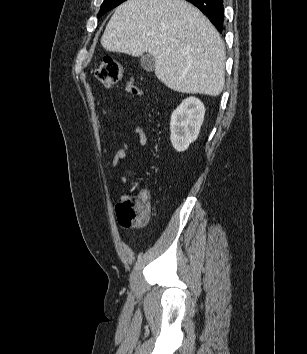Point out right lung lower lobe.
I'll return each mask as SVG.
<instances>
[{"label":"right lung lower lobe","instance_id":"98d812e1","mask_svg":"<svg viewBox=\"0 0 307 354\" xmlns=\"http://www.w3.org/2000/svg\"><path fill=\"white\" fill-rule=\"evenodd\" d=\"M198 7L216 26L219 32L223 30L224 6L223 0H186Z\"/></svg>","mask_w":307,"mask_h":354}]
</instances>
